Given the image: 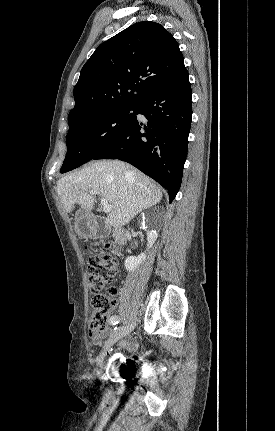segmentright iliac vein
Wrapping results in <instances>:
<instances>
[{
    "label": "right iliac vein",
    "instance_id": "63e3f726",
    "mask_svg": "<svg viewBox=\"0 0 275 431\" xmlns=\"http://www.w3.org/2000/svg\"><path fill=\"white\" fill-rule=\"evenodd\" d=\"M135 325L132 324L130 326H122L119 327L118 329H116V331H114L111 336L108 338V340L106 341L103 350L100 354L99 360H98V365L99 367L102 366L103 360L107 354V352L110 350V348L122 337L126 336L130 331H132L134 329ZM98 374L100 373V371H97Z\"/></svg>",
    "mask_w": 275,
    "mask_h": 431
}]
</instances>
